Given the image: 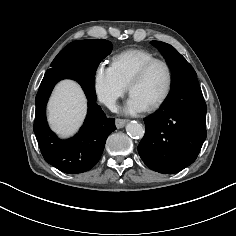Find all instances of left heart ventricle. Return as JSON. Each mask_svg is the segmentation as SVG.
Instances as JSON below:
<instances>
[{
	"mask_svg": "<svg viewBox=\"0 0 236 236\" xmlns=\"http://www.w3.org/2000/svg\"><path fill=\"white\" fill-rule=\"evenodd\" d=\"M167 82L168 73L165 66L156 64L146 77L133 88L131 94L139 97L149 107L164 94Z\"/></svg>",
	"mask_w": 236,
	"mask_h": 236,
	"instance_id": "obj_1",
	"label": "left heart ventricle"
}]
</instances>
